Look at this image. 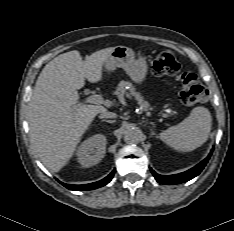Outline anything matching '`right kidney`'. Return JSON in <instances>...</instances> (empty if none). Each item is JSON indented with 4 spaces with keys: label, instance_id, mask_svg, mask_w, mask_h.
Wrapping results in <instances>:
<instances>
[{
    "label": "right kidney",
    "instance_id": "obj_1",
    "mask_svg": "<svg viewBox=\"0 0 234 231\" xmlns=\"http://www.w3.org/2000/svg\"><path fill=\"white\" fill-rule=\"evenodd\" d=\"M107 139L102 134H96L86 139L77 150L78 162L83 167L98 164L105 156Z\"/></svg>",
    "mask_w": 234,
    "mask_h": 231
}]
</instances>
